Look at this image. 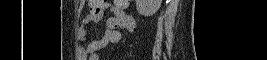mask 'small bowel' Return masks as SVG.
Returning a JSON list of instances; mask_svg holds the SVG:
<instances>
[{
    "mask_svg": "<svg viewBox=\"0 0 267 60\" xmlns=\"http://www.w3.org/2000/svg\"><path fill=\"white\" fill-rule=\"evenodd\" d=\"M127 4L119 7L116 3H105L103 9L98 14H89L82 20L81 26L79 28V37L85 39L87 37L88 27L98 22L103 13L106 10H111L113 13L112 17H109L106 21V27L104 33L101 37L92 40L84 49L83 52L87 56H95L101 49L106 47L108 44L118 43L122 39V33L118 30L117 27H113L112 24L115 21H122L125 23L124 29L127 32H132L134 30V20L132 17L128 16L125 13V8Z\"/></svg>",
    "mask_w": 267,
    "mask_h": 60,
    "instance_id": "c3829d8e",
    "label": "small bowel"
}]
</instances>
